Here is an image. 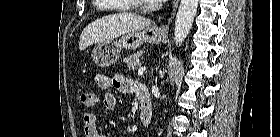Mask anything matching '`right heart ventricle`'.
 Wrapping results in <instances>:
<instances>
[{
  "label": "right heart ventricle",
  "instance_id": "right-heart-ventricle-1",
  "mask_svg": "<svg viewBox=\"0 0 280 137\" xmlns=\"http://www.w3.org/2000/svg\"><path fill=\"white\" fill-rule=\"evenodd\" d=\"M101 1H105V0H96V2H101ZM121 2H128L129 0H119ZM121 11H130L131 9L128 7H121L120 8Z\"/></svg>",
  "mask_w": 280,
  "mask_h": 137
}]
</instances>
